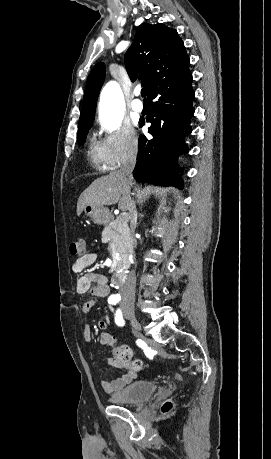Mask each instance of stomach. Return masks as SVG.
I'll return each mask as SVG.
<instances>
[{
    "mask_svg": "<svg viewBox=\"0 0 271 459\" xmlns=\"http://www.w3.org/2000/svg\"><path fill=\"white\" fill-rule=\"evenodd\" d=\"M83 212L85 216L92 218V222H95V224H109L113 218L108 208H103V206H99V204L84 206Z\"/></svg>",
    "mask_w": 271,
    "mask_h": 459,
    "instance_id": "obj_1",
    "label": "stomach"
}]
</instances>
